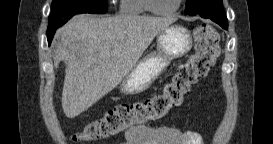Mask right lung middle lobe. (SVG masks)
Listing matches in <instances>:
<instances>
[{
    "label": "right lung middle lobe",
    "instance_id": "1",
    "mask_svg": "<svg viewBox=\"0 0 273 144\" xmlns=\"http://www.w3.org/2000/svg\"><path fill=\"white\" fill-rule=\"evenodd\" d=\"M49 16L47 34L54 33L60 23L79 13L104 14L107 12V0H53Z\"/></svg>",
    "mask_w": 273,
    "mask_h": 144
}]
</instances>
